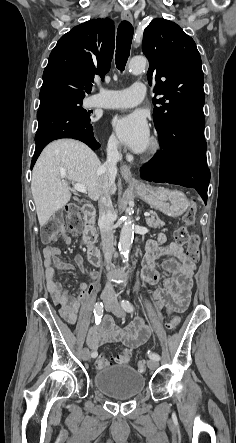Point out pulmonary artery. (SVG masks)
Returning <instances> with one entry per match:
<instances>
[{
	"instance_id": "1",
	"label": "pulmonary artery",
	"mask_w": 236,
	"mask_h": 443,
	"mask_svg": "<svg viewBox=\"0 0 236 443\" xmlns=\"http://www.w3.org/2000/svg\"><path fill=\"white\" fill-rule=\"evenodd\" d=\"M145 93L146 87L143 83H135L120 91L101 89L87 99V106L106 109L133 107L142 101Z\"/></svg>"
}]
</instances>
